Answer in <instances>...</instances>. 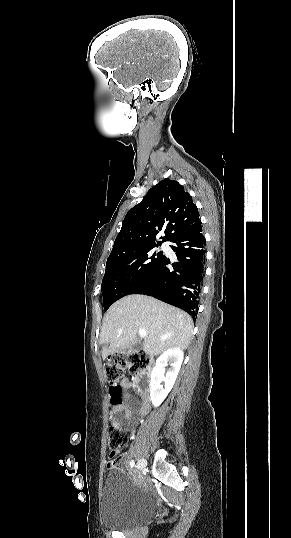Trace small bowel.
Instances as JSON below:
<instances>
[{"label":"small bowel","mask_w":291,"mask_h":538,"mask_svg":"<svg viewBox=\"0 0 291 538\" xmlns=\"http://www.w3.org/2000/svg\"><path fill=\"white\" fill-rule=\"evenodd\" d=\"M121 400L117 404H112V417L114 419H123L126 422H130L133 416H143L149 411V400L147 396L140 394L139 400H134L127 392L129 389H137L136 382L130 381L125 378L121 381ZM120 465H126L128 463V456L121 454L118 456Z\"/></svg>","instance_id":"1"}]
</instances>
